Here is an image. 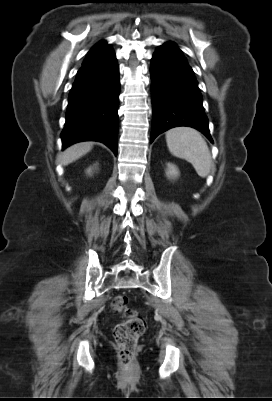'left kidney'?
I'll return each instance as SVG.
<instances>
[{"label":"left kidney","instance_id":"5707ae66","mask_svg":"<svg viewBox=\"0 0 272 401\" xmlns=\"http://www.w3.org/2000/svg\"><path fill=\"white\" fill-rule=\"evenodd\" d=\"M168 176L176 177L178 175V170L173 164H168Z\"/></svg>","mask_w":272,"mask_h":401}]
</instances>
